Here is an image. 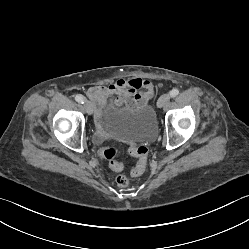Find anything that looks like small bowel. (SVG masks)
<instances>
[{"label":"small bowel","mask_w":249,"mask_h":249,"mask_svg":"<svg viewBox=\"0 0 249 249\" xmlns=\"http://www.w3.org/2000/svg\"><path fill=\"white\" fill-rule=\"evenodd\" d=\"M154 94L153 84L146 79H119L107 86H93L87 90L88 97L98 106H103L105 98L116 96L121 106L128 102L131 105H144Z\"/></svg>","instance_id":"obj_1"}]
</instances>
